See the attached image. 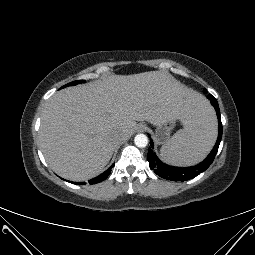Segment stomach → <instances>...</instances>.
Masks as SVG:
<instances>
[{
	"instance_id": "0dacf381",
	"label": "stomach",
	"mask_w": 255,
	"mask_h": 255,
	"mask_svg": "<svg viewBox=\"0 0 255 255\" xmlns=\"http://www.w3.org/2000/svg\"><path fill=\"white\" fill-rule=\"evenodd\" d=\"M177 119L167 118L156 125L155 140L158 144H164L170 137L172 129L175 127Z\"/></svg>"
}]
</instances>
